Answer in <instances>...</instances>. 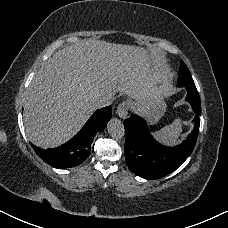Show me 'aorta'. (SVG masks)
Segmentation results:
<instances>
[{
    "instance_id": "1",
    "label": "aorta",
    "mask_w": 228,
    "mask_h": 228,
    "mask_svg": "<svg viewBox=\"0 0 228 228\" xmlns=\"http://www.w3.org/2000/svg\"><path fill=\"white\" fill-rule=\"evenodd\" d=\"M108 133L113 138H122L125 135V129L123 123L118 119H111L107 125Z\"/></svg>"
}]
</instances>
